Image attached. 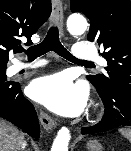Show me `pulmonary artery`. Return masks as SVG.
<instances>
[{"label": "pulmonary artery", "instance_id": "1", "mask_svg": "<svg viewBox=\"0 0 131 151\" xmlns=\"http://www.w3.org/2000/svg\"><path fill=\"white\" fill-rule=\"evenodd\" d=\"M73 55L75 58L82 60V61H96L99 65L104 66L105 65V60L102 59L97 55L96 49L93 44L90 42H79L75 44L74 49H73ZM39 64H23V63H18L13 66V70L15 72H18L24 68H34L38 66Z\"/></svg>", "mask_w": 131, "mask_h": 151}]
</instances>
